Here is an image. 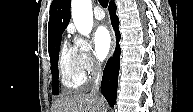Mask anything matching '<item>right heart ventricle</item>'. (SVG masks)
<instances>
[{
    "label": "right heart ventricle",
    "mask_w": 193,
    "mask_h": 112,
    "mask_svg": "<svg viewBox=\"0 0 193 112\" xmlns=\"http://www.w3.org/2000/svg\"><path fill=\"white\" fill-rule=\"evenodd\" d=\"M58 69L61 83L66 89L76 90L84 85L86 75L73 47L63 45L59 54Z\"/></svg>",
    "instance_id": "right-heart-ventricle-1"
}]
</instances>
